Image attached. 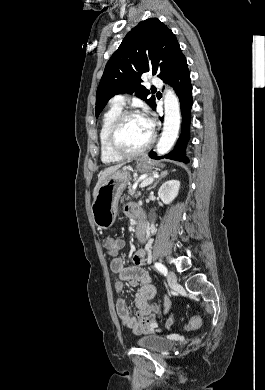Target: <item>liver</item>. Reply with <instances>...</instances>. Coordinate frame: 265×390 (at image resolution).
I'll return each mask as SVG.
<instances>
[{
  "mask_svg": "<svg viewBox=\"0 0 265 390\" xmlns=\"http://www.w3.org/2000/svg\"><path fill=\"white\" fill-rule=\"evenodd\" d=\"M124 164H117V165H114V166H110L108 168H106L102 173H101V176L98 178V182L94 188V191H93V197L95 199L96 197V194H97V191L100 187V185L103 183V181L111 174H113L114 172H116L119 168H121Z\"/></svg>",
  "mask_w": 265,
  "mask_h": 390,
  "instance_id": "liver-1",
  "label": "liver"
}]
</instances>
